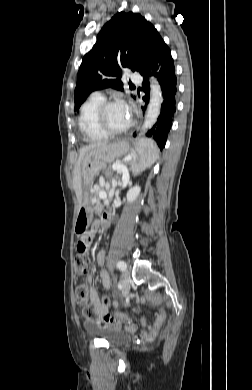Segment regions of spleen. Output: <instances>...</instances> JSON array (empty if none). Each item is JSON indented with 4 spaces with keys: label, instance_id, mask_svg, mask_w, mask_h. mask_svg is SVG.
Listing matches in <instances>:
<instances>
[{
    "label": "spleen",
    "instance_id": "3e777b00",
    "mask_svg": "<svg viewBox=\"0 0 252 390\" xmlns=\"http://www.w3.org/2000/svg\"><path fill=\"white\" fill-rule=\"evenodd\" d=\"M138 153V162L131 163V170L134 174H139L146 168L150 167L158 158V150L151 139H142L136 147Z\"/></svg>",
    "mask_w": 252,
    "mask_h": 390
}]
</instances>
